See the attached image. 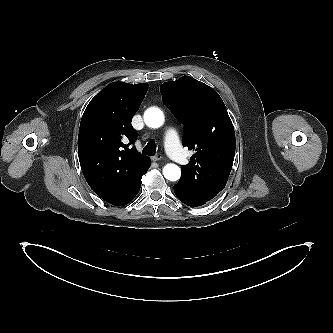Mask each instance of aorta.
Here are the masks:
<instances>
[{
	"label": "aorta",
	"mask_w": 333,
	"mask_h": 333,
	"mask_svg": "<svg viewBox=\"0 0 333 333\" xmlns=\"http://www.w3.org/2000/svg\"><path fill=\"white\" fill-rule=\"evenodd\" d=\"M144 121L151 128H159L164 123L163 112L155 107L149 108L144 113ZM163 175L170 181H176L181 176V170L175 164H167L163 168Z\"/></svg>",
	"instance_id": "1"
}]
</instances>
